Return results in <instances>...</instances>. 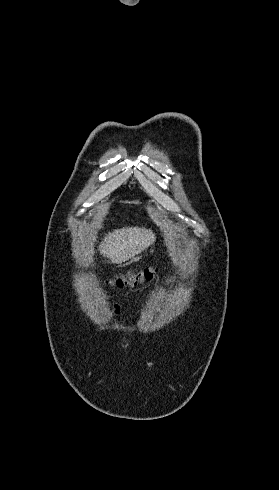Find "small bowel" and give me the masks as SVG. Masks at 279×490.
<instances>
[{"instance_id": "c3829d8e", "label": "small bowel", "mask_w": 279, "mask_h": 490, "mask_svg": "<svg viewBox=\"0 0 279 490\" xmlns=\"http://www.w3.org/2000/svg\"><path fill=\"white\" fill-rule=\"evenodd\" d=\"M113 315L114 316H118L119 315V308L117 306L114 307Z\"/></svg>"}]
</instances>
